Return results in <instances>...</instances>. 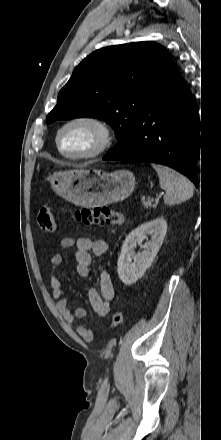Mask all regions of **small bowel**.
Returning <instances> with one entry per match:
<instances>
[{
  "label": "small bowel",
  "instance_id": "obj_1",
  "mask_svg": "<svg viewBox=\"0 0 221 440\" xmlns=\"http://www.w3.org/2000/svg\"><path fill=\"white\" fill-rule=\"evenodd\" d=\"M60 248L67 249L75 246L76 271L81 277H89L92 254L102 256L106 253L108 245L104 240H91L87 237H67L61 240ZM50 285L52 297L56 300V309L68 323H73L77 319L86 316V311L82 307H77L71 311L68 307V300L65 296L62 284L57 277V270L63 263L60 253L54 252L50 258ZM114 297V288L110 274L103 270L99 276V290L90 288L88 298L92 310L98 317H105L110 313V301ZM77 333L86 341L92 342L95 337V330L83 325L77 327Z\"/></svg>",
  "mask_w": 221,
  "mask_h": 440
}]
</instances>
